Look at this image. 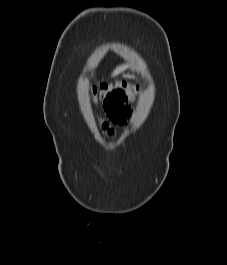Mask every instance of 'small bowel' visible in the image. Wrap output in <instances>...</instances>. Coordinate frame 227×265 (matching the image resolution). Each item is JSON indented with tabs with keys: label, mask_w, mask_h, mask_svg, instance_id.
Listing matches in <instances>:
<instances>
[{
	"label": "small bowel",
	"mask_w": 227,
	"mask_h": 265,
	"mask_svg": "<svg viewBox=\"0 0 227 265\" xmlns=\"http://www.w3.org/2000/svg\"><path fill=\"white\" fill-rule=\"evenodd\" d=\"M94 117H101V112H94ZM102 128H103L104 130H107L108 133H109V135H113V132H114V131H113L112 128H110L108 122L104 121V122L102 123Z\"/></svg>",
	"instance_id": "1"
}]
</instances>
